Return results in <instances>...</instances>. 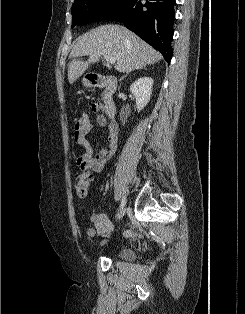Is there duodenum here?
Returning <instances> with one entry per match:
<instances>
[{
    "mask_svg": "<svg viewBox=\"0 0 245 314\" xmlns=\"http://www.w3.org/2000/svg\"><path fill=\"white\" fill-rule=\"evenodd\" d=\"M91 85L95 88H104L106 91L103 110L110 124H115L117 106L113 99L116 91L117 80L112 75H93L91 77Z\"/></svg>",
    "mask_w": 245,
    "mask_h": 314,
    "instance_id": "1",
    "label": "duodenum"
}]
</instances>
